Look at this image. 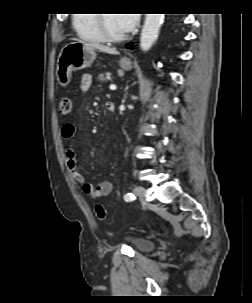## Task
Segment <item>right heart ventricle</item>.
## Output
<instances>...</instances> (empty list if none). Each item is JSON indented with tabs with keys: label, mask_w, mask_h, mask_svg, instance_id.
Returning <instances> with one entry per match:
<instances>
[{
	"label": "right heart ventricle",
	"mask_w": 252,
	"mask_h": 303,
	"mask_svg": "<svg viewBox=\"0 0 252 303\" xmlns=\"http://www.w3.org/2000/svg\"><path fill=\"white\" fill-rule=\"evenodd\" d=\"M73 23L82 38L93 42H103L105 40L98 23L97 14H78Z\"/></svg>",
	"instance_id": "1"
}]
</instances>
